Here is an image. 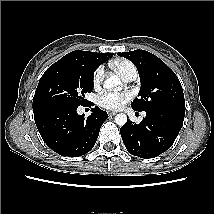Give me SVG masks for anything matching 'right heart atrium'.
Returning <instances> with one entry per match:
<instances>
[{
  "label": "right heart atrium",
  "mask_w": 214,
  "mask_h": 214,
  "mask_svg": "<svg viewBox=\"0 0 214 214\" xmlns=\"http://www.w3.org/2000/svg\"><path fill=\"white\" fill-rule=\"evenodd\" d=\"M103 77H104V69L103 67H98L92 76V84L95 88L99 87L103 81Z\"/></svg>",
  "instance_id": "1"
}]
</instances>
